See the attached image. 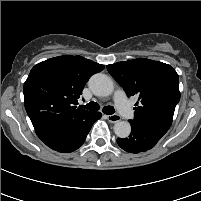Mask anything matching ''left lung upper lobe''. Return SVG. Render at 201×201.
<instances>
[{
	"mask_svg": "<svg viewBox=\"0 0 201 201\" xmlns=\"http://www.w3.org/2000/svg\"><path fill=\"white\" fill-rule=\"evenodd\" d=\"M107 69L128 96L139 99L130 121L170 128L180 100L178 74L170 65L138 58L107 65Z\"/></svg>",
	"mask_w": 201,
	"mask_h": 201,
	"instance_id": "left-lung-upper-lobe-1",
	"label": "left lung upper lobe"
}]
</instances>
